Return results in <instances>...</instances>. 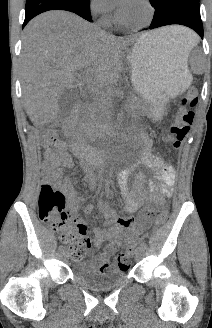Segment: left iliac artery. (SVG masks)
Returning <instances> with one entry per match:
<instances>
[{
	"mask_svg": "<svg viewBox=\"0 0 212 328\" xmlns=\"http://www.w3.org/2000/svg\"><path fill=\"white\" fill-rule=\"evenodd\" d=\"M141 247H143V248H146L147 247V244L145 243V242H141Z\"/></svg>",
	"mask_w": 212,
	"mask_h": 328,
	"instance_id": "1",
	"label": "left iliac artery"
}]
</instances>
